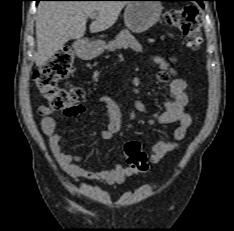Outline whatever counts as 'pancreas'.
I'll list each match as a JSON object with an SVG mask.
<instances>
[{
	"label": "pancreas",
	"mask_w": 234,
	"mask_h": 231,
	"mask_svg": "<svg viewBox=\"0 0 234 231\" xmlns=\"http://www.w3.org/2000/svg\"><path fill=\"white\" fill-rule=\"evenodd\" d=\"M121 48H130L137 52H140L142 50L141 45L127 29L122 30L115 37V39L110 41L107 45L108 51H114Z\"/></svg>",
	"instance_id": "obj_1"
}]
</instances>
